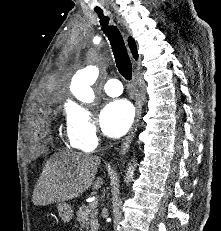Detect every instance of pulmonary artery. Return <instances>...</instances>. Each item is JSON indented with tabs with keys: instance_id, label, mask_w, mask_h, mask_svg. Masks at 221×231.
Listing matches in <instances>:
<instances>
[{
	"instance_id": "pulmonary-artery-1",
	"label": "pulmonary artery",
	"mask_w": 221,
	"mask_h": 231,
	"mask_svg": "<svg viewBox=\"0 0 221 231\" xmlns=\"http://www.w3.org/2000/svg\"><path fill=\"white\" fill-rule=\"evenodd\" d=\"M104 91L107 95L111 97L120 96L123 91L122 84L117 79H110L105 83Z\"/></svg>"
}]
</instances>
